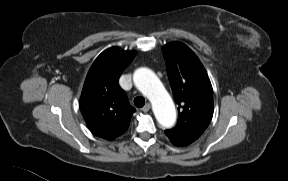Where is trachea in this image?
Instances as JSON below:
<instances>
[{
    "label": "trachea",
    "instance_id": "obj_1",
    "mask_svg": "<svg viewBox=\"0 0 288 181\" xmlns=\"http://www.w3.org/2000/svg\"><path fill=\"white\" fill-rule=\"evenodd\" d=\"M134 104L136 107L141 108L145 105V99L141 96H138L134 99Z\"/></svg>",
    "mask_w": 288,
    "mask_h": 181
}]
</instances>
